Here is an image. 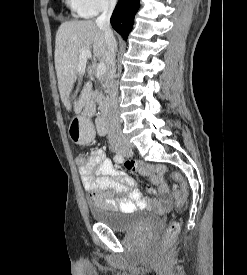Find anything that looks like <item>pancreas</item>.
<instances>
[{"label": "pancreas", "mask_w": 247, "mask_h": 275, "mask_svg": "<svg viewBox=\"0 0 247 275\" xmlns=\"http://www.w3.org/2000/svg\"><path fill=\"white\" fill-rule=\"evenodd\" d=\"M96 102L98 104V110L102 113H104L107 110L108 107V101L107 98L102 94L98 93L96 96Z\"/></svg>", "instance_id": "cf45deb5"}]
</instances>
